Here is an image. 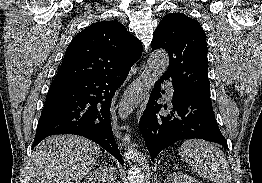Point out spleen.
Here are the masks:
<instances>
[{"instance_id":"spleen-1","label":"spleen","mask_w":262,"mask_h":183,"mask_svg":"<svg viewBox=\"0 0 262 183\" xmlns=\"http://www.w3.org/2000/svg\"><path fill=\"white\" fill-rule=\"evenodd\" d=\"M179 155L203 178L214 183H231L227 159L214 144L204 140H187L180 146Z\"/></svg>"}]
</instances>
